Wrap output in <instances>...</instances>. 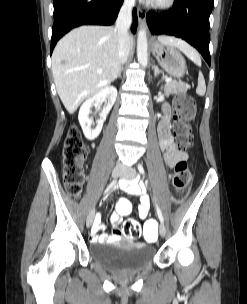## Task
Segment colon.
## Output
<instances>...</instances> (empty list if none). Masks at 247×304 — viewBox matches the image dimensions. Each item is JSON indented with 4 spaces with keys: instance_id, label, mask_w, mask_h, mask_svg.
I'll return each mask as SVG.
<instances>
[{
    "instance_id": "obj_1",
    "label": "colon",
    "mask_w": 247,
    "mask_h": 304,
    "mask_svg": "<svg viewBox=\"0 0 247 304\" xmlns=\"http://www.w3.org/2000/svg\"><path fill=\"white\" fill-rule=\"evenodd\" d=\"M196 112L194 99L186 94H179L174 102V131L178 139L179 149L185 151L191 146V133L189 123ZM87 154L80 131L72 127L66 136L62 152V175L66 190L73 196H79L84 183V160ZM191 181V173L184 160H180L175 166L173 185L179 192H183ZM119 214L127 215L131 212L132 206L126 199H120L116 204ZM144 238H149L147 244L152 246L158 233L155 224L148 222ZM123 233L131 239L138 238L142 233L139 222L127 220L123 225Z\"/></svg>"
}]
</instances>
